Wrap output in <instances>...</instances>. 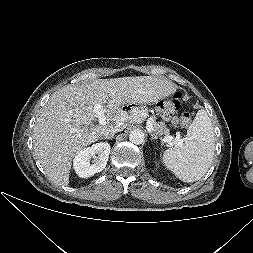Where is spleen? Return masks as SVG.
I'll return each instance as SVG.
<instances>
[{"mask_svg":"<svg viewBox=\"0 0 253 253\" xmlns=\"http://www.w3.org/2000/svg\"><path fill=\"white\" fill-rule=\"evenodd\" d=\"M214 149L211 119L205 110H199L184 142L177 141L173 148L167 149L163 162L181 181L192 183L201 179L210 168Z\"/></svg>","mask_w":253,"mask_h":253,"instance_id":"1","label":"spleen"}]
</instances>
